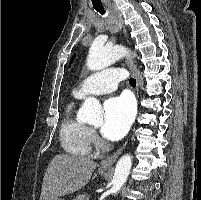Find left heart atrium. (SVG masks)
<instances>
[{
	"label": "left heart atrium",
	"mask_w": 201,
	"mask_h": 200,
	"mask_svg": "<svg viewBox=\"0 0 201 200\" xmlns=\"http://www.w3.org/2000/svg\"><path fill=\"white\" fill-rule=\"evenodd\" d=\"M132 102L125 96L110 98L104 105L102 135L112 141L123 138L133 121Z\"/></svg>",
	"instance_id": "obj_1"
}]
</instances>
